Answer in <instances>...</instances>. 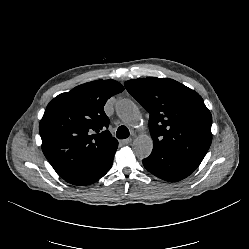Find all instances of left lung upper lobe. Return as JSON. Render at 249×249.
Listing matches in <instances>:
<instances>
[{
	"instance_id": "1",
	"label": "left lung upper lobe",
	"mask_w": 249,
	"mask_h": 249,
	"mask_svg": "<svg viewBox=\"0 0 249 249\" xmlns=\"http://www.w3.org/2000/svg\"><path fill=\"white\" fill-rule=\"evenodd\" d=\"M124 85L150 114L155 148L204 158L212 141V116L197 92L167 78L132 79Z\"/></svg>"
}]
</instances>
